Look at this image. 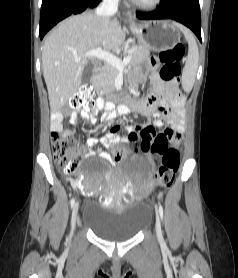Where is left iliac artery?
<instances>
[{"instance_id":"44dca946","label":"left iliac artery","mask_w":238,"mask_h":278,"mask_svg":"<svg viewBox=\"0 0 238 278\" xmlns=\"http://www.w3.org/2000/svg\"><path fill=\"white\" fill-rule=\"evenodd\" d=\"M159 214H160L161 219L163 220V207H162V205L159 206Z\"/></svg>"}]
</instances>
